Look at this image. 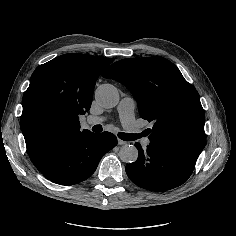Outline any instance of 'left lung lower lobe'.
<instances>
[{"mask_svg":"<svg viewBox=\"0 0 236 236\" xmlns=\"http://www.w3.org/2000/svg\"><path fill=\"white\" fill-rule=\"evenodd\" d=\"M138 159L126 166V173L137 186L151 191H166L183 184L192 174L196 161L169 145L150 141L146 150L139 143Z\"/></svg>","mask_w":236,"mask_h":236,"instance_id":"obj_1","label":"left lung lower lobe"}]
</instances>
